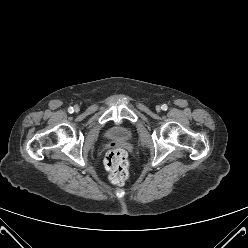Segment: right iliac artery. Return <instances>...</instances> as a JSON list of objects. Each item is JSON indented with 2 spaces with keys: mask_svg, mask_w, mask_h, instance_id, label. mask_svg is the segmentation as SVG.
Returning <instances> with one entry per match:
<instances>
[{
  "mask_svg": "<svg viewBox=\"0 0 248 248\" xmlns=\"http://www.w3.org/2000/svg\"><path fill=\"white\" fill-rule=\"evenodd\" d=\"M68 112H69L70 114L73 113V112H74L73 107H70V108L68 109Z\"/></svg>",
  "mask_w": 248,
  "mask_h": 248,
  "instance_id": "82829eb1",
  "label": "right iliac artery"
}]
</instances>
